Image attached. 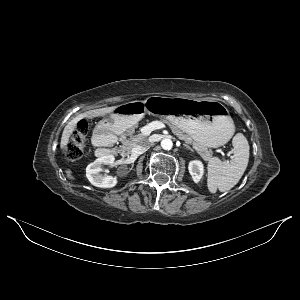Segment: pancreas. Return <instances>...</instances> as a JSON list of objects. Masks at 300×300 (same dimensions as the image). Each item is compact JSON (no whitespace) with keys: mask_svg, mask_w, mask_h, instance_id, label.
Returning a JSON list of instances; mask_svg holds the SVG:
<instances>
[{"mask_svg":"<svg viewBox=\"0 0 300 300\" xmlns=\"http://www.w3.org/2000/svg\"><path fill=\"white\" fill-rule=\"evenodd\" d=\"M167 123V121H164ZM137 127V126H135ZM135 127L130 128L126 133L122 134L120 137V141L122 145L120 146L119 151L121 153H125L126 151H130L132 147L137 145L138 143H141L144 139H146V136L138 133L135 134ZM170 127L173 131V133L181 140H184L186 143L191 144L194 149L197 151V153L205 160L209 161L212 156V152L207 149L206 146L194 141L189 135L184 134L181 130H179L176 126L171 125Z\"/></svg>","mask_w":300,"mask_h":300,"instance_id":"1","label":"pancreas"}]
</instances>
